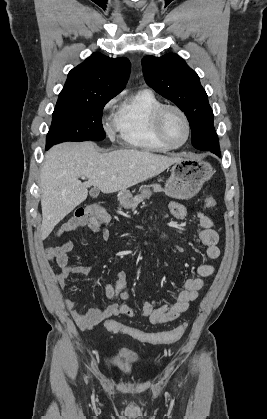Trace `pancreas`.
Returning a JSON list of instances; mask_svg holds the SVG:
<instances>
[{
    "label": "pancreas",
    "instance_id": "obj_1",
    "mask_svg": "<svg viewBox=\"0 0 267 419\" xmlns=\"http://www.w3.org/2000/svg\"><path fill=\"white\" fill-rule=\"evenodd\" d=\"M151 186L153 187L154 192H162L163 191V188L161 187L160 184H152ZM143 199H144L143 194L136 195L133 198L132 209L134 210L138 206V204L143 201Z\"/></svg>",
    "mask_w": 267,
    "mask_h": 419
}]
</instances>
